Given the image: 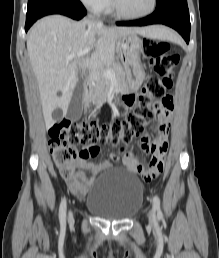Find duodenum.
<instances>
[{
  "label": "duodenum",
  "mask_w": 219,
  "mask_h": 258,
  "mask_svg": "<svg viewBox=\"0 0 219 258\" xmlns=\"http://www.w3.org/2000/svg\"><path fill=\"white\" fill-rule=\"evenodd\" d=\"M93 88L90 84H87L84 88V100L86 103L89 102V98L91 97V95L93 94Z\"/></svg>",
  "instance_id": "1"
}]
</instances>
